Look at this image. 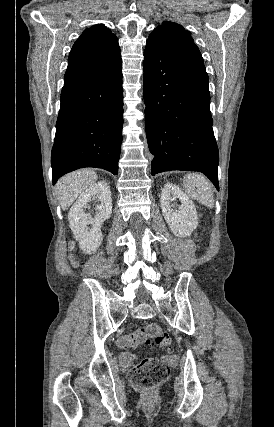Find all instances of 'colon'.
I'll return each mask as SVG.
<instances>
[{
    "label": "colon",
    "instance_id": "obj_1",
    "mask_svg": "<svg viewBox=\"0 0 274 427\" xmlns=\"http://www.w3.org/2000/svg\"><path fill=\"white\" fill-rule=\"evenodd\" d=\"M70 261L74 265L77 264L73 256H70ZM118 344L122 349L135 348L138 345L166 349L171 347L172 339L157 324L148 323L133 332L119 336ZM169 374L170 370L166 363L157 358L145 357L130 369L129 379L134 388L142 390L143 394L155 395L156 388L167 381Z\"/></svg>",
    "mask_w": 274,
    "mask_h": 427
}]
</instances>
